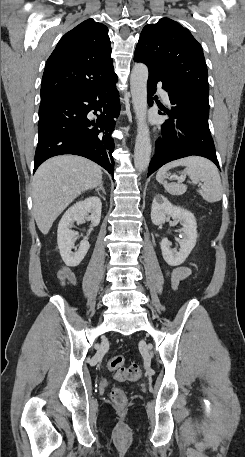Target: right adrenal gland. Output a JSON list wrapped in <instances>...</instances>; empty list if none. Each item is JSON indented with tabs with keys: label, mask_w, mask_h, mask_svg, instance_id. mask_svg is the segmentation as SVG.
<instances>
[{
	"label": "right adrenal gland",
	"mask_w": 245,
	"mask_h": 457,
	"mask_svg": "<svg viewBox=\"0 0 245 457\" xmlns=\"http://www.w3.org/2000/svg\"><path fill=\"white\" fill-rule=\"evenodd\" d=\"M95 190H96V192H98V194H99L100 190H102V192H104V194H106L105 188L103 186V182H101V184H99L98 188H95Z\"/></svg>",
	"instance_id": "obj_1"
}]
</instances>
